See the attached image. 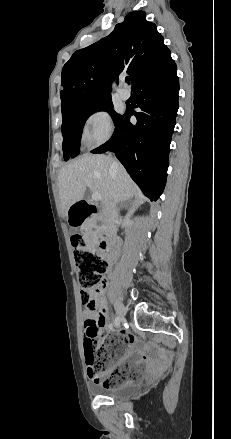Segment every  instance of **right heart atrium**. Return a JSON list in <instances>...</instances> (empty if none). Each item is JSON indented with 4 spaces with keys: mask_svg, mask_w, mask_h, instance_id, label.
I'll use <instances>...</instances> for the list:
<instances>
[{
    "mask_svg": "<svg viewBox=\"0 0 231 439\" xmlns=\"http://www.w3.org/2000/svg\"><path fill=\"white\" fill-rule=\"evenodd\" d=\"M113 134V124L110 114L103 108L91 111L83 124V140L91 147L107 142Z\"/></svg>",
    "mask_w": 231,
    "mask_h": 439,
    "instance_id": "d8ad5b80",
    "label": "right heart atrium"
}]
</instances>
